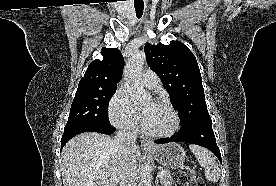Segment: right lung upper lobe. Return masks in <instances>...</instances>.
Returning <instances> with one entry per match:
<instances>
[{"label":"right lung upper lobe","mask_w":276,"mask_h":186,"mask_svg":"<svg viewBox=\"0 0 276 186\" xmlns=\"http://www.w3.org/2000/svg\"><path fill=\"white\" fill-rule=\"evenodd\" d=\"M101 54L103 60L97 59L89 64L77 90L117 88L124 67V58L117 48H102Z\"/></svg>","instance_id":"right-lung-upper-lobe-1"}]
</instances>
